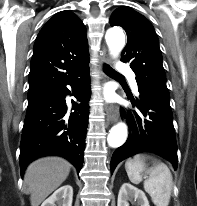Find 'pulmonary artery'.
<instances>
[{"instance_id":"obj_1","label":"pulmonary artery","mask_w":197,"mask_h":206,"mask_svg":"<svg viewBox=\"0 0 197 206\" xmlns=\"http://www.w3.org/2000/svg\"><path fill=\"white\" fill-rule=\"evenodd\" d=\"M118 70L121 72H125L129 75L130 81H131V85L134 89H137V83L135 80V75L134 73L127 67L126 64L124 63H119L118 64Z\"/></svg>"}]
</instances>
